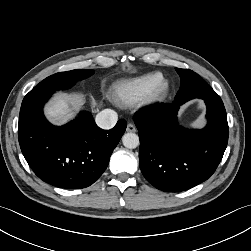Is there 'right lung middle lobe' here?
Returning a JSON list of instances; mask_svg holds the SVG:
<instances>
[{
    "mask_svg": "<svg viewBox=\"0 0 251 251\" xmlns=\"http://www.w3.org/2000/svg\"><path fill=\"white\" fill-rule=\"evenodd\" d=\"M94 73L90 69H77L67 72H60L51 75L36 85L34 90H66L71 88L77 81L88 78Z\"/></svg>",
    "mask_w": 251,
    "mask_h": 251,
    "instance_id": "right-lung-middle-lobe-1",
    "label": "right lung middle lobe"
}]
</instances>
